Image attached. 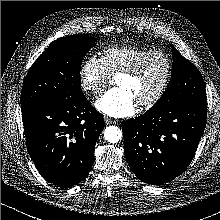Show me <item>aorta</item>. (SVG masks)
I'll return each instance as SVG.
<instances>
[{"instance_id": "aorta-1", "label": "aorta", "mask_w": 220, "mask_h": 220, "mask_svg": "<svg viewBox=\"0 0 220 220\" xmlns=\"http://www.w3.org/2000/svg\"><path fill=\"white\" fill-rule=\"evenodd\" d=\"M104 137L105 140L110 143H117L119 140H121L122 132L116 126H108L104 130Z\"/></svg>"}]
</instances>
